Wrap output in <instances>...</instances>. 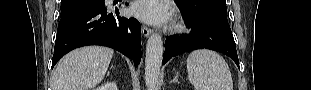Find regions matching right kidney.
I'll list each match as a JSON object with an SVG mask.
<instances>
[{"mask_svg": "<svg viewBox=\"0 0 311 90\" xmlns=\"http://www.w3.org/2000/svg\"><path fill=\"white\" fill-rule=\"evenodd\" d=\"M96 90H105V88L103 87V88H97Z\"/></svg>", "mask_w": 311, "mask_h": 90, "instance_id": "1", "label": "right kidney"}]
</instances>
